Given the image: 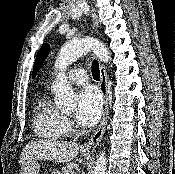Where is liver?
I'll list each match as a JSON object with an SVG mask.
<instances>
[{
  "label": "liver",
  "instance_id": "1",
  "mask_svg": "<svg viewBox=\"0 0 175 174\" xmlns=\"http://www.w3.org/2000/svg\"><path fill=\"white\" fill-rule=\"evenodd\" d=\"M79 153V146L74 142L40 140L29 142L22 150L20 163L46 159L60 163L72 161Z\"/></svg>",
  "mask_w": 175,
  "mask_h": 174
}]
</instances>
